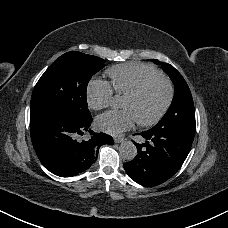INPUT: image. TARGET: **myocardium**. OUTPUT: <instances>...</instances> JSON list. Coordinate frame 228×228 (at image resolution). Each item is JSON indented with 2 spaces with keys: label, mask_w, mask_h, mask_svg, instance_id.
I'll list each match as a JSON object with an SVG mask.
<instances>
[{
  "label": "myocardium",
  "mask_w": 228,
  "mask_h": 228,
  "mask_svg": "<svg viewBox=\"0 0 228 228\" xmlns=\"http://www.w3.org/2000/svg\"><path fill=\"white\" fill-rule=\"evenodd\" d=\"M156 82H161L165 85L166 96L163 100V103H162L160 109L152 118H150L149 120H146V121H138V123L141 126L154 125L163 117V115L166 112V110L168 109L169 104L172 99V85L167 79L162 78V77H157V78H153V79L145 81L137 90H135L133 93L127 95L128 98H132V99L138 98L145 89H147L149 86H151L152 84H154Z\"/></svg>",
  "instance_id": "obj_1"
}]
</instances>
